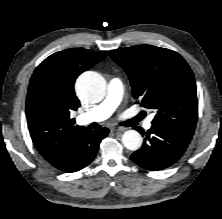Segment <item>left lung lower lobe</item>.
Listing matches in <instances>:
<instances>
[{
	"label": "left lung lower lobe",
	"mask_w": 222,
	"mask_h": 219,
	"mask_svg": "<svg viewBox=\"0 0 222 219\" xmlns=\"http://www.w3.org/2000/svg\"><path fill=\"white\" fill-rule=\"evenodd\" d=\"M136 129L143 132L139 127ZM190 141V137L173 129L152 125L146 133L142 148L134 152L130 158L146 170H162L181 158Z\"/></svg>",
	"instance_id": "obj_1"
}]
</instances>
